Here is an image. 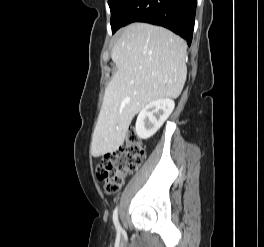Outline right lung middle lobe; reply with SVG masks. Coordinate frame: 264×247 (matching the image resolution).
<instances>
[{"label":"right lung middle lobe","instance_id":"dd1d6c3e","mask_svg":"<svg viewBox=\"0 0 264 247\" xmlns=\"http://www.w3.org/2000/svg\"><path fill=\"white\" fill-rule=\"evenodd\" d=\"M130 0H108V4L111 11V28L112 33L115 32L117 27V20L124 8L127 6Z\"/></svg>","mask_w":264,"mask_h":247}]
</instances>
